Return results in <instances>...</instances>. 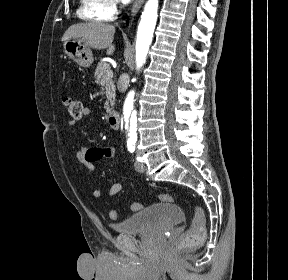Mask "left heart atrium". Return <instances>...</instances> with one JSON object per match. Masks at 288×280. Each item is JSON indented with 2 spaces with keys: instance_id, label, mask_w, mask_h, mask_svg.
Returning <instances> with one entry per match:
<instances>
[{
  "instance_id": "obj_1",
  "label": "left heart atrium",
  "mask_w": 288,
  "mask_h": 280,
  "mask_svg": "<svg viewBox=\"0 0 288 280\" xmlns=\"http://www.w3.org/2000/svg\"><path fill=\"white\" fill-rule=\"evenodd\" d=\"M130 0H123V2H129Z\"/></svg>"
}]
</instances>
